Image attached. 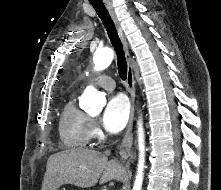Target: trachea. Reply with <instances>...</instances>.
<instances>
[{"instance_id": "3493384b", "label": "trachea", "mask_w": 221, "mask_h": 190, "mask_svg": "<svg viewBox=\"0 0 221 190\" xmlns=\"http://www.w3.org/2000/svg\"><path fill=\"white\" fill-rule=\"evenodd\" d=\"M90 3L92 4L99 18L103 22V25L107 31L108 37L117 54V66H118L119 75L122 80H125L127 77V63L125 59V53L123 51V45L117 33L114 22L111 19V16L109 15L104 4L100 0L99 1L90 0Z\"/></svg>"}]
</instances>
